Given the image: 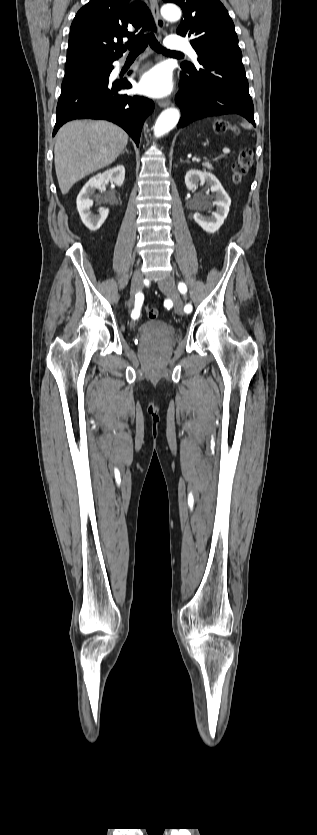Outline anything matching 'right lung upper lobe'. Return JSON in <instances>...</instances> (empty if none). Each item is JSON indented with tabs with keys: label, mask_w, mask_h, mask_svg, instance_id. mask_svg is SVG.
Wrapping results in <instances>:
<instances>
[{
	"label": "right lung upper lobe",
	"mask_w": 317,
	"mask_h": 835,
	"mask_svg": "<svg viewBox=\"0 0 317 835\" xmlns=\"http://www.w3.org/2000/svg\"><path fill=\"white\" fill-rule=\"evenodd\" d=\"M148 25L155 30L151 13L143 2L90 0L71 24L67 57L95 54L114 61L126 50L122 38H128L126 44L134 42Z\"/></svg>",
	"instance_id": "right-lung-upper-lobe-1"
}]
</instances>
